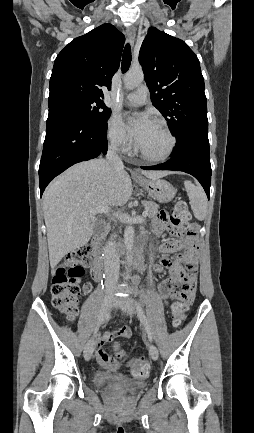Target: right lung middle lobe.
Returning a JSON list of instances; mask_svg holds the SVG:
<instances>
[{
	"instance_id": "1",
	"label": "right lung middle lobe",
	"mask_w": 254,
	"mask_h": 433,
	"mask_svg": "<svg viewBox=\"0 0 254 433\" xmlns=\"http://www.w3.org/2000/svg\"><path fill=\"white\" fill-rule=\"evenodd\" d=\"M50 109H64L76 112L85 119L96 123L106 124L111 110L107 108L101 99L71 98L48 105Z\"/></svg>"
}]
</instances>
